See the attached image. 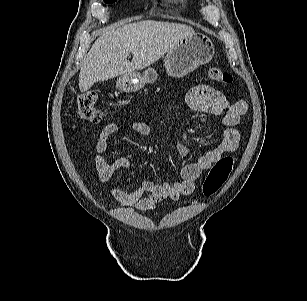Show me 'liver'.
I'll return each mask as SVG.
<instances>
[{
    "label": "liver",
    "instance_id": "6515ba94",
    "mask_svg": "<svg viewBox=\"0 0 307 301\" xmlns=\"http://www.w3.org/2000/svg\"><path fill=\"white\" fill-rule=\"evenodd\" d=\"M195 33L185 24L145 20L113 28L92 45L79 73L85 92L97 81L143 69L158 61L181 39ZM132 53L131 62L127 60Z\"/></svg>",
    "mask_w": 307,
    "mask_h": 301
}]
</instances>
